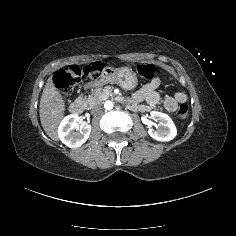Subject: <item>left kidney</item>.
I'll return each instance as SVG.
<instances>
[{
    "label": "left kidney",
    "instance_id": "left-kidney-1",
    "mask_svg": "<svg viewBox=\"0 0 236 236\" xmlns=\"http://www.w3.org/2000/svg\"><path fill=\"white\" fill-rule=\"evenodd\" d=\"M150 116L156 121L155 126L157 128H149L148 134L151 138L160 142H166L176 137L177 129L175 123L168 115L158 111H151Z\"/></svg>",
    "mask_w": 236,
    "mask_h": 236
}]
</instances>
